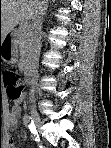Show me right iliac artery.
I'll return each instance as SVG.
<instances>
[{
	"label": "right iliac artery",
	"instance_id": "1",
	"mask_svg": "<svg viewBox=\"0 0 111 148\" xmlns=\"http://www.w3.org/2000/svg\"><path fill=\"white\" fill-rule=\"evenodd\" d=\"M23 121H24L25 126L28 127L33 134L37 133L34 122L29 115H24Z\"/></svg>",
	"mask_w": 111,
	"mask_h": 148
}]
</instances>
